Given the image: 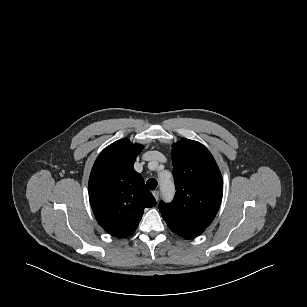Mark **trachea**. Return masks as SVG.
Instances as JSON below:
<instances>
[{
    "label": "trachea",
    "mask_w": 307,
    "mask_h": 307,
    "mask_svg": "<svg viewBox=\"0 0 307 307\" xmlns=\"http://www.w3.org/2000/svg\"><path fill=\"white\" fill-rule=\"evenodd\" d=\"M146 185L150 190H154L157 187V180L150 178L147 180Z\"/></svg>",
    "instance_id": "trachea-1"
}]
</instances>
